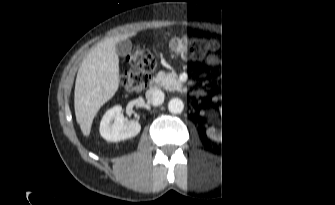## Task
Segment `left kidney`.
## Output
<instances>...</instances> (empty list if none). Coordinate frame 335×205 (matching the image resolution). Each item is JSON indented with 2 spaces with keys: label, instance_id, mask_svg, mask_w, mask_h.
<instances>
[{
  "label": "left kidney",
  "instance_id": "left-kidney-1",
  "mask_svg": "<svg viewBox=\"0 0 335 205\" xmlns=\"http://www.w3.org/2000/svg\"><path fill=\"white\" fill-rule=\"evenodd\" d=\"M207 136L214 141H221V132L215 128H209L207 130Z\"/></svg>",
  "mask_w": 335,
  "mask_h": 205
}]
</instances>
